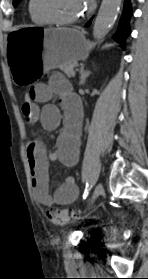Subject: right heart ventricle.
Masks as SVG:
<instances>
[{
  "label": "right heart ventricle",
  "instance_id": "1",
  "mask_svg": "<svg viewBox=\"0 0 148 279\" xmlns=\"http://www.w3.org/2000/svg\"><path fill=\"white\" fill-rule=\"evenodd\" d=\"M28 11L30 14V18L32 20L33 23L37 24V25H48L49 22L42 19L41 17L37 16L32 8V0H29V4H28Z\"/></svg>",
  "mask_w": 148,
  "mask_h": 279
}]
</instances>
